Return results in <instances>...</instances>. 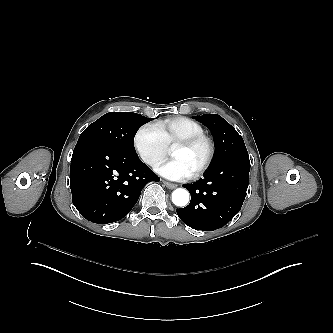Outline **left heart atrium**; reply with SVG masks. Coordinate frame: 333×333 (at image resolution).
<instances>
[{
    "mask_svg": "<svg viewBox=\"0 0 333 333\" xmlns=\"http://www.w3.org/2000/svg\"><path fill=\"white\" fill-rule=\"evenodd\" d=\"M157 171L165 178L175 181H185L193 176L192 170L176 159L167 160Z\"/></svg>",
    "mask_w": 333,
    "mask_h": 333,
    "instance_id": "1",
    "label": "left heart atrium"
}]
</instances>
